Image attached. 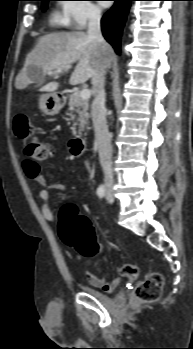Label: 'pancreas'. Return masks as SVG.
Returning a JSON list of instances; mask_svg holds the SVG:
<instances>
[{
	"label": "pancreas",
	"instance_id": "pancreas-1",
	"mask_svg": "<svg viewBox=\"0 0 193 349\" xmlns=\"http://www.w3.org/2000/svg\"><path fill=\"white\" fill-rule=\"evenodd\" d=\"M69 108H68V116L70 120L75 121L76 123L72 127V133L74 135L81 134L85 128L89 129V118L90 115L88 113L89 103L87 99H83L80 96V93H72L69 96ZM78 116H77V115ZM76 125L79 126L78 131L76 130Z\"/></svg>",
	"mask_w": 193,
	"mask_h": 349
}]
</instances>
